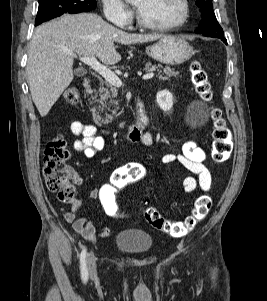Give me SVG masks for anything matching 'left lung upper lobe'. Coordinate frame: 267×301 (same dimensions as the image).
<instances>
[{"mask_svg":"<svg viewBox=\"0 0 267 301\" xmlns=\"http://www.w3.org/2000/svg\"><path fill=\"white\" fill-rule=\"evenodd\" d=\"M211 1L212 0H196L195 3L201 12V21L195 32L203 34L204 36L224 37L223 29L217 22Z\"/></svg>","mask_w":267,"mask_h":301,"instance_id":"left-lung-upper-lobe-1","label":"left lung upper lobe"}]
</instances>
